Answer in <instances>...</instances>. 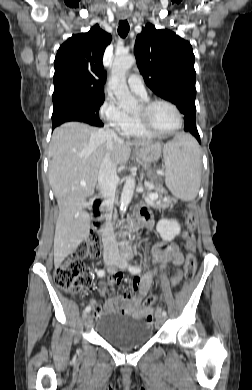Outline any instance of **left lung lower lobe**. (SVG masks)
Wrapping results in <instances>:
<instances>
[{"instance_id":"1","label":"left lung lower lobe","mask_w":252,"mask_h":390,"mask_svg":"<svg viewBox=\"0 0 252 390\" xmlns=\"http://www.w3.org/2000/svg\"><path fill=\"white\" fill-rule=\"evenodd\" d=\"M184 120H185L184 130L193 134L197 138V140L200 142V136H199L198 130L196 128L195 114L186 115Z\"/></svg>"}]
</instances>
